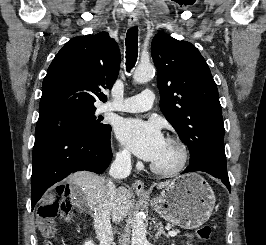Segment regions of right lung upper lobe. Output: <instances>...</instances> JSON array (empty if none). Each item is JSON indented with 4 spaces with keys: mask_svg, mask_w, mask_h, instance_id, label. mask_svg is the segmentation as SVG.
<instances>
[{
    "mask_svg": "<svg viewBox=\"0 0 266 245\" xmlns=\"http://www.w3.org/2000/svg\"><path fill=\"white\" fill-rule=\"evenodd\" d=\"M120 66V51L107 32L68 41L50 64L42 85L39 121L105 102Z\"/></svg>",
    "mask_w": 266,
    "mask_h": 245,
    "instance_id": "1",
    "label": "right lung upper lobe"
}]
</instances>
